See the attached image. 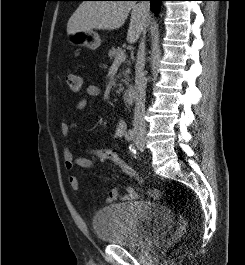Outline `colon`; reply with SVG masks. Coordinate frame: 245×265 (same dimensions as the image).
Masks as SVG:
<instances>
[{
    "label": "colon",
    "instance_id": "colon-1",
    "mask_svg": "<svg viewBox=\"0 0 245 265\" xmlns=\"http://www.w3.org/2000/svg\"><path fill=\"white\" fill-rule=\"evenodd\" d=\"M67 85L71 92L74 94H80L82 92V78L75 74L70 73L66 77ZM91 155L102 160L108 161L117 166L123 173L130 177H137L136 172L124 161L119 155L111 149L97 148L90 151Z\"/></svg>",
    "mask_w": 245,
    "mask_h": 265
}]
</instances>
